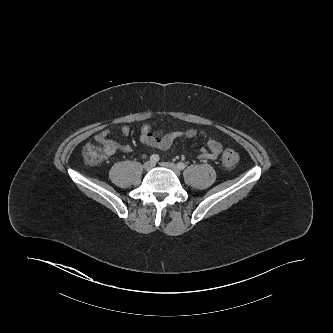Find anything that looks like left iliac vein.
I'll list each match as a JSON object with an SVG mask.
<instances>
[{
	"mask_svg": "<svg viewBox=\"0 0 333 333\" xmlns=\"http://www.w3.org/2000/svg\"><path fill=\"white\" fill-rule=\"evenodd\" d=\"M160 165L164 168L171 169L176 175H179V173H180L179 168L173 163L161 162Z\"/></svg>",
	"mask_w": 333,
	"mask_h": 333,
	"instance_id": "4c4485c4",
	"label": "left iliac vein"
}]
</instances>
